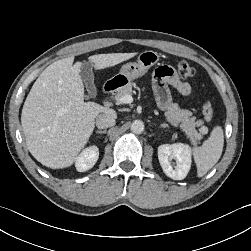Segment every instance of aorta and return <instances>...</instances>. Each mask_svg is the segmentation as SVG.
<instances>
[{
	"instance_id": "762f6f07",
	"label": "aorta",
	"mask_w": 251,
	"mask_h": 251,
	"mask_svg": "<svg viewBox=\"0 0 251 251\" xmlns=\"http://www.w3.org/2000/svg\"><path fill=\"white\" fill-rule=\"evenodd\" d=\"M131 131L135 134H141L144 131V123L141 120H134L131 124Z\"/></svg>"
}]
</instances>
